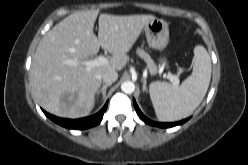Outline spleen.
I'll return each instance as SVG.
<instances>
[{
	"instance_id": "3e777b00",
	"label": "spleen",
	"mask_w": 248,
	"mask_h": 165,
	"mask_svg": "<svg viewBox=\"0 0 248 165\" xmlns=\"http://www.w3.org/2000/svg\"><path fill=\"white\" fill-rule=\"evenodd\" d=\"M211 71L207 50L197 45L192 74L180 86L160 81L151 83L149 93L157 118L160 121H176L191 115L206 95Z\"/></svg>"
}]
</instances>
